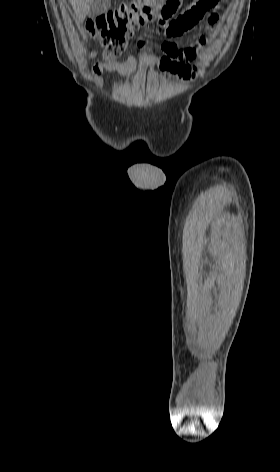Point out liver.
<instances>
[{
  "instance_id": "liver-1",
  "label": "liver",
  "mask_w": 280,
  "mask_h": 472,
  "mask_svg": "<svg viewBox=\"0 0 280 472\" xmlns=\"http://www.w3.org/2000/svg\"><path fill=\"white\" fill-rule=\"evenodd\" d=\"M76 14V23H82L90 12L92 0H69Z\"/></svg>"
}]
</instances>
